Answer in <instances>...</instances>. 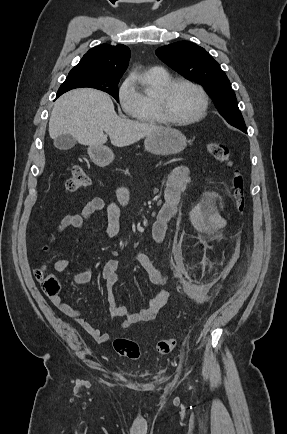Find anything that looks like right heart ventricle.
<instances>
[{"label":"right heart ventricle","instance_id":"right-heart-ventricle-1","mask_svg":"<svg viewBox=\"0 0 287 434\" xmlns=\"http://www.w3.org/2000/svg\"><path fill=\"white\" fill-rule=\"evenodd\" d=\"M148 81L154 85L156 88L161 87L165 83H167L171 77L165 70H162L160 73H151L147 72ZM142 97V103L139 110L133 114L132 116L140 122L150 123V124H161L163 123V119L158 113L156 103H155V95H152L146 91H140Z\"/></svg>","mask_w":287,"mask_h":434}]
</instances>
